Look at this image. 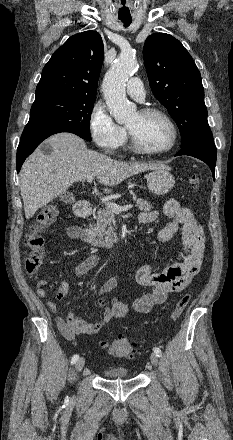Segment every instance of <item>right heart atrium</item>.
I'll return each instance as SVG.
<instances>
[{
  "label": "right heart atrium",
  "mask_w": 233,
  "mask_h": 440,
  "mask_svg": "<svg viewBox=\"0 0 233 440\" xmlns=\"http://www.w3.org/2000/svg\"><path fill=\"white\" fill-rule=\"evenodd\" d=\"M89 130L96 146L106 154H114L126 140L125 129L118 125L101 104H95L89 116Z\"/></svg>",
  "instance_id": "right-heart-atrium-1"
}]
</instances>
